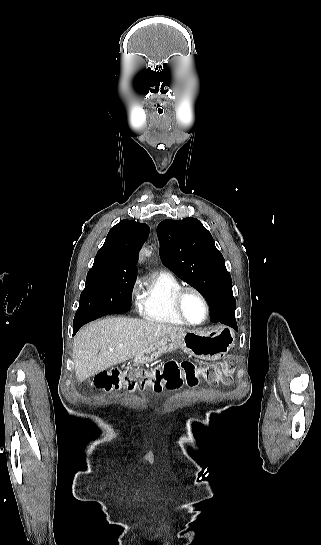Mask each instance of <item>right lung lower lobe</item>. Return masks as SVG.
<instances>
[{"label":"right lung lower lobe","mask_w":321,"mask_h":545,"mask_svg":"<svg viewBox=\"0 0 321 545\" xmlns=\"http://www.w3.org/2000/svg\"><path fill=\"white\" fill-rule=\"evenodd\" d=\"M131 296L132 294L117 297L107 307V314H118V313H123L128 311L131 308ZM90 321H92V319H85V320L73 322V334H75L80 329L81 326H83L84 324Z\"/></svg>","instance_id":"right-lung-lower-lobe-1"}]
</instances>
